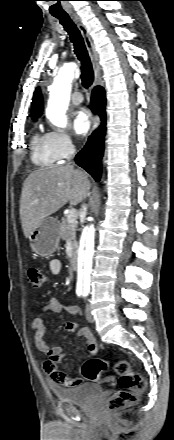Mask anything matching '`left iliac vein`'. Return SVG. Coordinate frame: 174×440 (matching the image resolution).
I'll list each match as a JSON object with an SVG mask.
<instances>
[{
	"label": "left iliac vein",
	"mask_w": 174,
	"mask_h": 440,
	"mask_svg": "<svg viewBox=\"0 0 174 440\" xmlns=\"http://www.w3.org/2000/svg\"><path fill=\"white\" fill-rule=\"evenodd\" d=\"M86 319L90 323L94 322V317H93V315L91 314V312H90V310L88 308L86 309Z\"/></svg>",
	"instance_id": "1"
}]
</instances>
